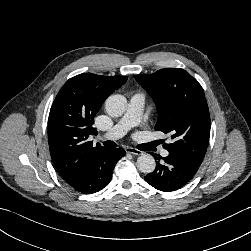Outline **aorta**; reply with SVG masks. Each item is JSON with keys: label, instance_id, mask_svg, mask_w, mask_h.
<instances>
[{"label": "aorta", "instance_id": "aorta-1", "mask_svg": "<svg viewBox=\"0 0 251 251\" xmlns=\"http://www.w3.org/2000/svg\"><path fill=\"white\" fill-rule=\"evenodd\" d=\"M105 109L111 117H119L126 110V99L122 95H111L105 101ZM156 162L152 155L142 154L137 159V168L145 174L155 170Z\"/></svg>", "mask_w": 251, "mask_h": 251}]
</instances>
